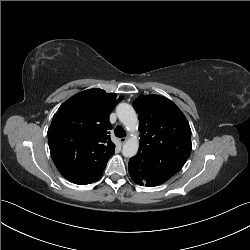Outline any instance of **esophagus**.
<instances>
[{
	"label": "esophagus",
	"instance_id": "34e87169",
	"mask_svg": "<svg viewBox=\"0 0 250 250\" xmlns=\"http://www.w3.org/2000/svg\"><path fill=\"white\" fill-rule=\"evenodd\" d=\"M126 141H127V138H126V137L119 138V142H120L121 144H124Z\"/></svg>",
	"mask_w": 250,
	"mask_h": 250
}]
</instances>
